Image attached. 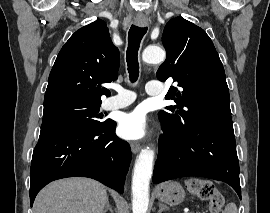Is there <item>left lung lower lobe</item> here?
Returning <instances> with one entry per match:
<instances>
[{
  "mask_svg": "<svg viewBox=\"0 0 270 213\" xmlns=\"http://www.w3.org/2000/svg\"><path fill=\"white\" fill-rule=\"evenodd\" d=\"M153 183L200 176L228 183L241 199L233 126L198 123L177 132L162 123Z\"/></svg>",
  "mask_w": 270,
  "mask_h": 213,
  "instance_id": "obj_1",
  "label": "left lung lower lobe"
}]
</instances>
